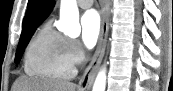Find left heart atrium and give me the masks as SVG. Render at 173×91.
<instances>
[{
  "mask_svg": "<svg viewBox=\"0 0 173 91\" xmlns=\"http://www.w3.org/2000/svg\"><path fill=\"white\" fill-rule=\"evenodd\" d=\"M82 42L86 48H92L101 32V20L95 10L86 11L81 17Z\"/></svg>",
  "mask_w": 173,
  "mask_h": 91,
  "instance_id": "1",
  "label": "left heart atrium"
}]
</instances>
